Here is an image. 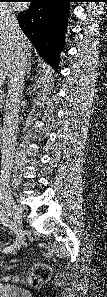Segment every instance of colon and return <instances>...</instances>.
<instances>
[{
    "instance_id": "1",
    "label": "colon",
    "mask_w": 107,
    "mask_h": 297,
    "mask_svg": "<svg viewBox=\"0 0 107 297\" xmlns=\"http://www.w3.org/2000/svg\"><path fill=\"white\" fill-rule=\"evenodd\" d=\"M47 277V272L43 268H39L34 277L32 278V282L36 285L41 283Z\"/></svg>"
}]
</instances>
